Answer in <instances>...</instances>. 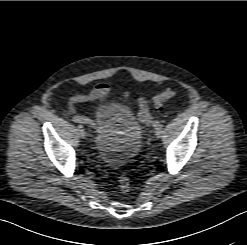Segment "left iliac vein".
<instances>
[{
  "instance_id": "obj_1",
  "label": "left iliac vein",
  "mask_w": 247,
  "mask_h": 245,
  "mask_svg": "<svg viewBox=\"0 0 247 245\" xmlns=\"http://www.w3.org/2000/svg\"><path fill=\"white\" fill-rule=\"evenodd\" d=\"M162 135V128H155V136L160 138Z\"/></svg>"
}]
</instances>
